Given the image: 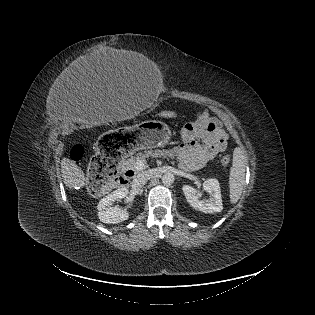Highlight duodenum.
Masks as SVG:
<instances>
[{"instance_id":"410a0bca","label":"duodenum","mask_w":315,"mask_h":315,"mask_svg":"<svg viewBox=\"0 0 315 315\" xmlns=\"http://www.w3.org/2000/svg\"><path fill=\"white\" fill-rule=\"evenodd\" d=\"M134 175H135V172L131 168H128L127 166H123L121 175L117 180V186L128 187Z\"/></svg>"}]
</instances>
